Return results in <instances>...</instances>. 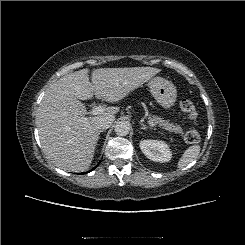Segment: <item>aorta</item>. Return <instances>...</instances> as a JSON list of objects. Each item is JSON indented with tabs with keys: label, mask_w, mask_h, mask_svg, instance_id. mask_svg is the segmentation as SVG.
Returning <instances> with one entry per match:
<instances>
[{
	"label": "aorta",
	"mask_w": 245,
	"mask_h": 245,
	"mask_svg": "<svg viewBox=\"0 0 245 245\" xmlns=\"http://www.w3.org/2000/svg\"><path fill=\"white\" fill-rule=\"evenodd\" d=\"M130 129H131L130 123L128 121H125V120H121V121L117 122L115 125V128H114L115 133L118 136H126L127 134H129Z\"/></svg>",
	"instance_id": "obj_1"
}]
</instances>
